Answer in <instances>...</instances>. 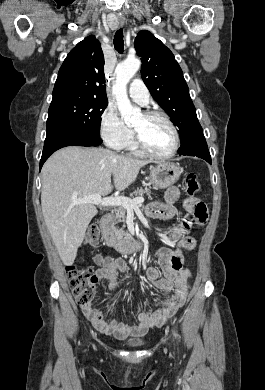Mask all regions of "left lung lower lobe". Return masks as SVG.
Masks as SVG:
<instances>
[{"mask_svg":"<svg viewBox=\"0 0 265 390\" xmlns=\"http://www.w3.org/2000/svg\"><path fill=\"white\" fill-rule=\"evenodd\" d=\"M180 156H196L206 160L211 164V156L208 150V146L205 137H202L194 144L189 150L184 153H178Z\"/></svg>","mask_w":265,"mask_h":390,"instance_id":"1","label":"left lung lower lobe"}]
</instances>
